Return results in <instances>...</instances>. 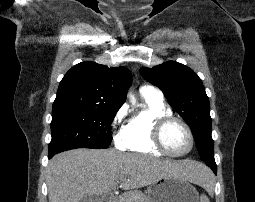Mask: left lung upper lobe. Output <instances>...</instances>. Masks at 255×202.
Instances as JSON below:
<instances>
[{
    "label": "left lung upper lobe",
    "instance_id": "left-lung-upper-lobe-1",
    "mask_svg": "<svg viewBox=\"0 0 255 202\" xmlns=\"http://www.w3.org/2000/svg\"><path fill=\"white\" fill-rule=\"evenodd\" d=\"M140 73L162 90L168 103L190 126L201 160L215 161L209 99L201 79L189 67L175 61L141 68Z\"/></svg>",
    "mask_w": 255,
    "mask_h": 202
}]
</instances>
